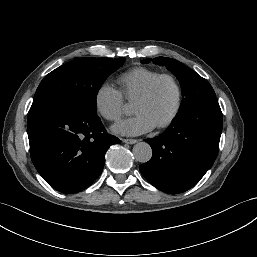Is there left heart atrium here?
<instances>
[{
	"instance_id": "1",
	"label": "left heart atrium",
	"mask_w": 257,
	"mask_h": 257,
	"mask_svg": "<svg viewBox=\"0 0 257 257\" xmlns=\"http://www.w3.org/2000/svg\"><path fill=\"white\" fill-rule=\"evenodd\" d=\"M155 124L143 113H136L133 117L120 121L113 127V131L122 135H139L151 131Z\"/></svg>"
}]
</instances>
